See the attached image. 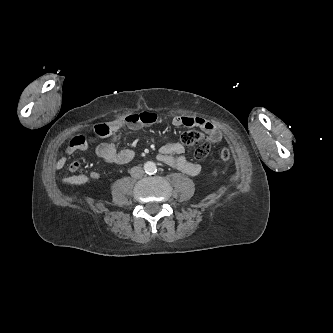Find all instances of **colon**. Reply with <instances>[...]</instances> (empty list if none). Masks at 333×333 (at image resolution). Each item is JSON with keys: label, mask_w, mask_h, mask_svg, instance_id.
Returning a JSON list of instances; mask_svg holds the SVG:
<instances>
[{"label": "colon", "mask_w": 333, "mask_h": 333, "mask_svg": "<svg viewBox=\"0 0 333 333\" xmlns=\"http://www.w3.org/2000/svg\"><path fill=\"white\" fill-rule=\"evenodd\" d=\"M95 133L100 137H108L111 134V129L107 123H99L94 126ZM181 143L185 146H197L194 152V157L197 160L205 159L210 152V143L205 135L197 130L187 131L181 135ZM218 159L222 162H230L232 154L229 149H222L218 154Z\"/></svg>", "instance_id": "obj_1"}]
</instances>
